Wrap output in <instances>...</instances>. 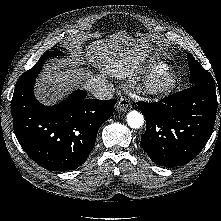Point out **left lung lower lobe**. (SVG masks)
Instances as JSON below:
<instances>
[{
	"label": "left lung lower lobe",
	"mask_w": 221,
	"mask_h": 221,
	"mask_svg": "<svg viewBox=\"0 0 221 221\" xmlns=\"http://www.w3.org/2000/svg\"><path fill=\"white\" fill-rule=\"evenodd\" d=\"M217 95L195 85L160 102H139L146 119L140 146L156 164L185 165L209 140L215 124ZM221 103V98H220Z\"/></svg>",
	"instance_id": "obj_1"
}]
</instances>
